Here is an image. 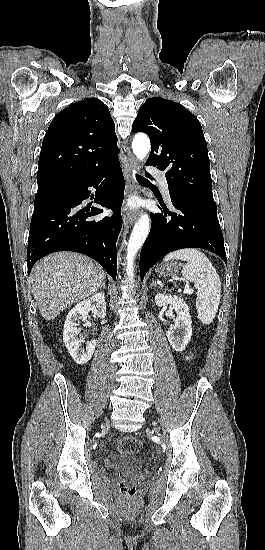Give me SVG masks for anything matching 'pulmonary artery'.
<instances>
[{"label": "pulmonary artery", "mask_w": 265, "mask_h": 550, "mask_svg": "<svg viewBox=\"0 0 265 550\" xmlns=\"http://www.w3.org/2000/svg\"><path fill=\"white\" fill-rule=\"evenodd\" d=\"M152 173L155 175V177L158 179L159 181V184L161 186V189H162V193L163 195L165 196L166 199L169 200V189H168V183H167V180H166V177L164 175L163 172L159 171V170H153Z\"/></svg>", "instance_id": "1"}]
</instances>
